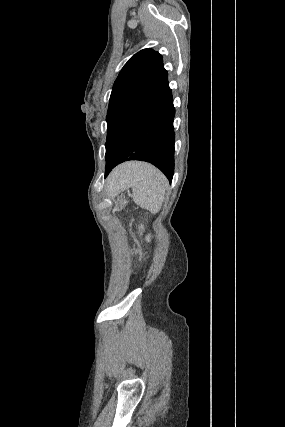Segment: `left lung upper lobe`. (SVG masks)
I'll use <instances>...</instances> for the list:
<instances>
[{
	"label": "left lung upper lobe",
	"instance_id": "1",
	"mask_svg": "<svg viewBox=\"0 0 285 427\" xmlns=\"http://www.w3.org/2000/svg\"><path fill=\"white\" fill-rule=\"evenodd\" d=\"M167 80L162 56L152 49L137 52L124 65L113 85L106 117V170L126 127Z\"/></svg>",
	"mask_w": 285,
	"mask_h": 427
}]
</instances>
